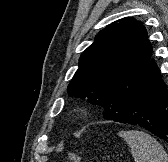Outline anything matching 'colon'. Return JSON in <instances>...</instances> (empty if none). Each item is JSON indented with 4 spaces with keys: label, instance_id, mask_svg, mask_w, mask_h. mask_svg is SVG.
<instances>
[{
    "label": "colon",
    "instance_id": "obj_1",
    "mask_svg": "<svg viewBox=\"0 0 168 162\" xmlns=\"http://www.w3.org/2000/svg\"><path fill=\"white\" fill-rule=\"evenodd\" d=\"M68 162H81V158L77 154H69Z\"/></svg>",
    "mask_w": 168,
    "mask_h": 162
}]
</instances>
